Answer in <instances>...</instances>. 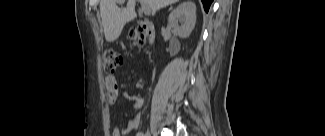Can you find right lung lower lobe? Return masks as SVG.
<instances>
[{"label": "right lung lower lobe", "instance_id": "98d812e1", "mask_svg": "<svg viewBox=\"0 0 325 136\" xmlns=\"http://www.w3.org/2000/svg\"><path fill=\"white\" fill-rule=\"evenodd\" d=\"M205 11H208L213 0H201Z\"/></svg>", "mask_w": 325, "mask_h": 136}]
</instances>
